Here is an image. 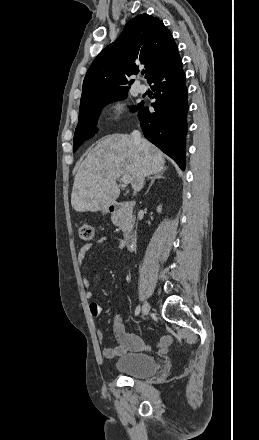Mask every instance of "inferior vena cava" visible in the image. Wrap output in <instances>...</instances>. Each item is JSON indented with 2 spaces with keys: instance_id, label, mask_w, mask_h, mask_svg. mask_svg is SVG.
Here are the masks:
<instances>
[{
  "instance_id": "inferior-vena-cava-1",
  "label": "inferior vena cava",
  "mask_w": 259,
  "mask_h": 440,
  "mask_svg": "<svg viewBox=\"0 0 259 440\" xmlns=\"http://www.w3.org/2000/svg\"><path fill=\"white\" fill-rule=\"evenodd\" d=\"M132 138L135 143L140 144L141 143V134L138 130H134L132 132Z\"/></svg>"
}]
</instances>
